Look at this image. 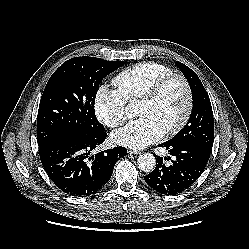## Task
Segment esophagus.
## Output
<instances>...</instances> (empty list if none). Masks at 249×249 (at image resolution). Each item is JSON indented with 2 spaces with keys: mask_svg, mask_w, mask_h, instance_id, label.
I'll return each instance as SVG.
<instances>
[{
  "mask_svg": "<svg viewBox=\"0 0 249 249\" xmlns=\"http://www.w3.org/2000/svg\"><path fill=\"white\" fill-rule=\"evenodd\" d=\"M128 153H129V154H133V155H138V154H140V152L137 151V150H128Z\"/></svg>",
  "mask_w": 249,
  "mask_h": 249,
  "instance_id": "obj_1",
  "label": "esophagus"
}]
</instances>
